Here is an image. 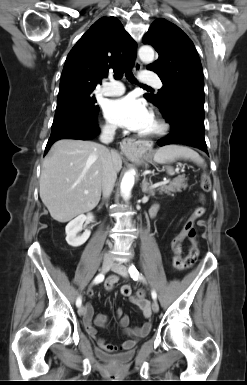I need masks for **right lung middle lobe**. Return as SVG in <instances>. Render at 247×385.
<instances>
[{"label": "right lung middle lobe", "mask_w": 247, "mask_h": 385, "mask_svg": "<svg viewBox=\"0 0 247 385\" xmlns=\"http://www.w3.org/2000/svg\"><path fill=\"white\" fill-rule=\"evenodd\" d=\"M93 90L71 89L59 92L53 124L73 116H94L99 107Z\"/></svg>", "instance_id": "dd1d6c3e"}]
</instances>
